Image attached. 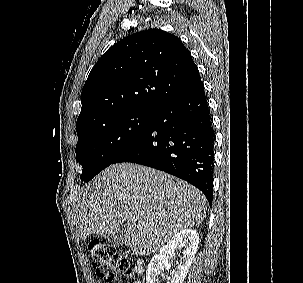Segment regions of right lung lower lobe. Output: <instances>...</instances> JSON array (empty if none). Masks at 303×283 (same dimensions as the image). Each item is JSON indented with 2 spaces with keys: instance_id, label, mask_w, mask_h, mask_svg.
Returning <instances> with one entry per match:
<instances>
[{
  "instance_id": "right-lung-lower-lobe-1",
  "label": "right lung lower lobe",
  "mask_w": 303,
  "mask_h": 283,
  "mask_svg": "<svg viewBox=\"0 0 303 283\" xmlns=\"http://www.w3.org/2000/svg\"><path fill=\"white\" fill-rule=\"evenodd\" d=\"M133 162L177 176L213 199L214 133L202 81L153 111L145 132L113 163Z\"/></svg>"
}]
</instances>
